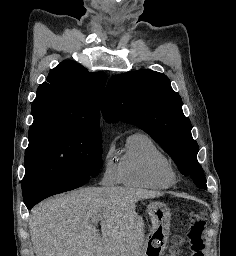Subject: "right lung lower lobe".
<instances>
[{"mask_svg":"<svg viewBox=\"0 0 236 256\" xmlns=\"http://www.w3.org/2000/svg\"><path fill=\"white\" fill-rule=\"evenodd\" d=\"M88 180L89 179L81 178V179H77V180L67 182L64 184L49 186V187L40 189V190L24 197V203H25L26 207L30 210L35 204L42 201L43 199H45L51 195H55L58 193H62L65 191H70L75 188H78V187L84 185Z\"/></svg>","mask_w":236,"mask_h":256,"instance_id":"98d812e1","label":"right lung lower lobe"}]
</instances>
